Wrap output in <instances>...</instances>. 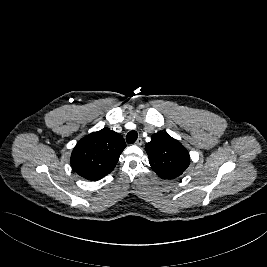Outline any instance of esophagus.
<instances>
[{
	"label": "esophagus",
	"instance_id": "34e87169",
	"mask_svg": "<svg viewBox=\"0 0 267 267\" xmlns=\"http://www.w3.org/2000/svg\"><path fill=\"white\" fill-rule=\"evenodd\" d=\"M143 144V140H142V138H138L137 140H136V142H135V145H137V146H141Z\"/></svg>",
	"mask_w": 267,
	"mask_h": 267
}]
</instances>
